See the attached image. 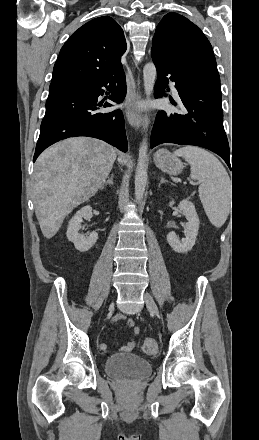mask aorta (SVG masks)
Masks as SVG:
<instances>
[{
    "label": "aorta",
    "mask_w": 259,
    "mask_h": 440,
    "mask_svg": "<svg viewBox=\"0 0 259 440\" xmlns=\"http://www.w3.org/2000/svg\"><path fill=\"white\" fill-rule=\"evenodd\" d=\"M155 78H156L155 65L153 63L146 64L143 69V80H144V90L147 97H149L153 92ZM144 122H145V126H147L149 123V119L145 117ZM147 151H148L147 142L143 140L139 148V157H138V163L135 173V199L138 203L142 202L146 183H147V169H146Z\"/></svg>",
    "instance_id": "aorta-1"
}]
</instances>
